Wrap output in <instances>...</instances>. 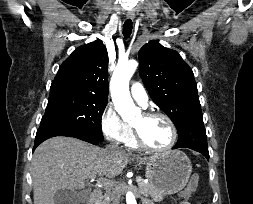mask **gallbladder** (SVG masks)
I'll return each mask as SVG.
<instances>
[{"label":"gallbladder","instance_id":"gallbladder-1","mask_svg":"<svg viewBox=\"0 0 253 204\" xmlns=\"http://www.w3.org/2000/svg\"><path fill=\"white\" fill-rule=\"evenodd\" d=\"M90 197V191L83 189L82 191H73L62 189L58 190L54 195V204H82Z\"/></svg>","mask_w":253,"mask_h":204}]
</instances>
